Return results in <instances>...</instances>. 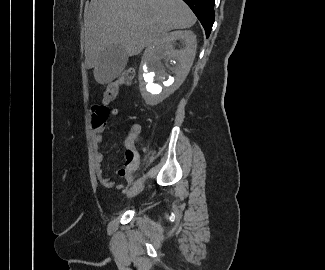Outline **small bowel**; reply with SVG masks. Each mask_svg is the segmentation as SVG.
Wrapping results in <instances>:
<instances>
[{
    "mask_svg": "<svg viewBox=\"0 0 325 270\" xmlns=\"http://www.w3.org/2000/svg\"><path fill=\"white\" fill-rule=\"evenodd\" d=\"M119 115L118 109L110 110L108 103H95L94 113L92 118V151L95 174L99 183L105 188L113 187L114 183L110 178L103 175L102 162L103 154L99 149V145L103 142L102 132L105 128L106 121L110 120V117H117ZM139 126L134 125L131 133L126 139V153L124 156V161L126 163L125 167H120L117 169V174L122 177L127 184H131L134 181V176L132 172L136 169L138 165V154L134 145V141L139 133ZM117 189H123V183L116 185Z\"/></svg>",
    "mask_w": 325,
    "mask_h": 270,
    "instance_id": "small-bowel-1",
    "label": "small bowel"
}]
</instances>
